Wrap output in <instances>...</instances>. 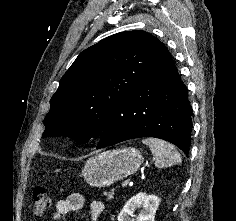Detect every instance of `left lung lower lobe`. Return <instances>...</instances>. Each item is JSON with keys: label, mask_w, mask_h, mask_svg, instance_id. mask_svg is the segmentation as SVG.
Returning a JSON list of instances; mask_svg holds the SVG:
<instances>
[{"label": "left lung lower lobe", "mask_w": 236, "mask_h": 221, "mask_svg": "<svg viewBox=\"0 0 236 221\" xmlns=\"http://www.w3.org/2000/svg\"><path fill=\"white\" fill-rule=\"evenodd\" d=\"M191 130L187 88L165 47L144 78L113 112L97 148L133 138L155 137L173 143L188 156Z\"/></svg>", "instance_id": "obj_1"}]
</instances>
